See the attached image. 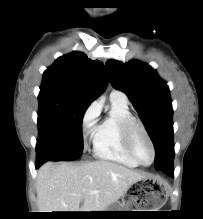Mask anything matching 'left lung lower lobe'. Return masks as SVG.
<instances>
[{
  "label": "left lung lower lobe",
  "instance_id": "0a47b994",
  "mask_svg": "<svg viewBox=\"0 0 203 219\" xmlns=\"http://www.w3.org/2000/svg\"><path fill=\"white\" fill-rule=\"evenodd\" d=\"M158 169L166 173L168 176L173 177V162L164 164L160 166Z\"/></svg>",
  "mask_w": 203,
  "mask_h": 219
}]
</instances>
